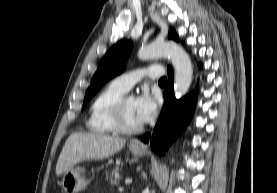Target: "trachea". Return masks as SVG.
<instances>
[{"instance_id":"3493384b","label":"trachea","mask_w":277,"mask_h":193,"mask_svg":"<svg viewBox=\"0 0 277 193\" xmlns=\"http://www.w3.org/2000/svg\"><path fill=\"white\" fill-rule=\"evenodd\" d=\"M166 82V77H162L160 80H159V83H165Z\"/></svg>"}]
</instances>
